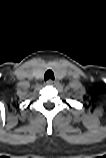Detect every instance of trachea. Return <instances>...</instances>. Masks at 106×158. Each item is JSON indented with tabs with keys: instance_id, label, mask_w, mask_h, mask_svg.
Wrapping results in <instances>:
<instances>
[{
	"instance_id": "trachea-1",
	"label": "trachea",
	"mask_w": 106,
	"mask_h": 158,
	"mask_svg": "<svg viewBox=\"0 0 106 158\" xmlns=\"http://www.w3.org/2000/svg\"><path fill=\"white\" fill-rule=\"evenodd\" d=\"M44 79L45 80H48V79L54 80V73H53V71L52 70H47L45 72Z\"/></svg>"
}]
</instances>
